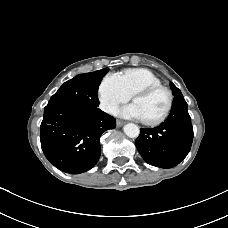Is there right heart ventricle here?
<instances>
[{"mask_svg":"<svg viewBox=\"0 0 228 228\" xmlns=\"http://www.w3.org/2000/svg\"><path fill=\"white\" fill-rule=\"evenodd\" d=\"M124 89L130 96L138 89L151 85H160V79L150 70L145 68H129L120 72Z\"/></svg>","mask_w":228,"mask_h":228,"instance_id":"e07e8e85","label":"right heart ventricle"}]
</instances>
